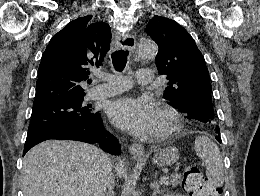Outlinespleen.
<instances>
[{
  "instance_id": "obj_1",
  "label": "spleen",
  "mask_w": 260,
  "mask_h": 196,
  "mask_svg": "<svg viewBox=\"0 0 260 196\" xmlns=\"http://www.w3.org/2000/svg\"><path fill=\"white\" fill-rule=\"evenodd\" d=\"M194 150L196 156H198L206 166L208 182H211L216 188H221L224 182V166L217 144L212 142L207 136H198L195 140Z\"/></svg>"
}]
</instances>
